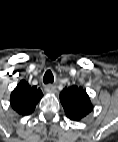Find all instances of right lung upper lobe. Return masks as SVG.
Instances as JSON below:
<instances>
[{"mask_svg": "<svg viewBox=\"0 0 118 142\" xmlns=\"http://www.w3.org/2000/svg\"><path fill=\"white\" fill-rule=\"evenodd\" d=\"M42 96L43 93L39 88L30 86L28 82L21 80L11 93V107L20 115H29L34 111Z\"/></svg>", "mask_w": 118, "mask_h": 142, "instance_id": "cb5924a9", "label": "right lung upper lobe"}]
</instances>
